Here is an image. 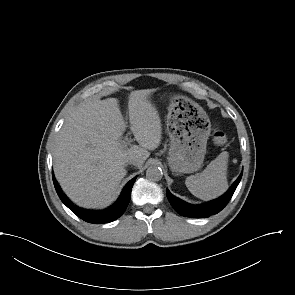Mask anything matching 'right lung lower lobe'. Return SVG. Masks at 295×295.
<instances>
[{
  "label": "right lung lower lobe",
  "instance_id": "obj_1",
  "mask_svg": "<svg viewBox=\"0 0 295 295\" xmlns=\"http://www.w3.org/2000/svg\"><path fill=\"white\" fill-rule=\"evenodd\" d=\"M136 180V177L131 179L126 186L124 187L120 197L118 200L109 208L101 211H94V210H86L82 209L80 207L75 206L68 197L62 192L61 188L59 187L57 181L54 178L53 175V183L56 189V192L61 199V201L73 212L75 213L79 218L82 220L89 222V223H95V224H102V223H108L116 220L119 218L125 211V209L128 206V203L131 198V190L133 187V184Z\"/></svg>",
  "mask_w": 295,
  "mask_h": 295
}]
</instances>
